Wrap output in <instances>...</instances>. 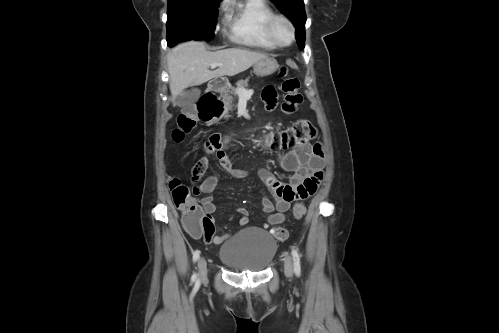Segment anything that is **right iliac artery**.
<instances>
[{
    "label": "right iliac artery",
    "mask_w": 499,
    "mask_h": 333,
    "mask_svg": "<svg viewBox=\"0 0 499 333\" xmlns=\"http://www.w3.org/2000/svg\"><path fill=\"white\" fill-rule=\"evenodd\" d=\"M199 255H200V251L196 250L194 253H193V262H196L198 259H199ZM197 279V273H194L192 275V280H195Z\"/></svg>",
    "instance_id": "right-iliac-artery-1"
}]
</instances>
